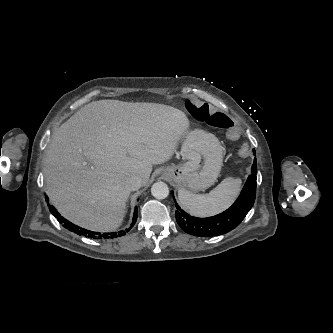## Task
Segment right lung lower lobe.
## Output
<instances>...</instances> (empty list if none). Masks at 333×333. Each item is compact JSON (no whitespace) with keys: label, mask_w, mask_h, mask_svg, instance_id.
<instances>
[{"label":"right lung lower lobe","mask_w":333,"mask_h":333,"mask_svg":"<svg viewBox=\"0 0 333 333\" xmlns=\"http://www.w3.org/2000/svg\"><path fill=\"white\" fill-rule=\"evenodd\" d=\"M45 199L47 202H49V199L47 196H45ZM49 205V203H48ZM50 212L57 218V220L69 231L75 232L79 235L85 236V237H89V238H93V239H109V238H117V237H121L123 235L126 234V232H128L135 224L136 220H137V208L134 211V216H133V222L131 223L130 228L124 230H121L119 232H112V233H99V232H93L84 228H81L77 225H74L73 223H71L70 221L66 220L65 218L61 217V215L57 212V210L51 205L49 207Z\"/></svg>","instance_id":"right-lung-lower-lobe-1"}]
</instances>
